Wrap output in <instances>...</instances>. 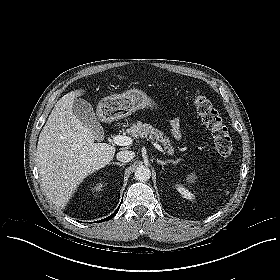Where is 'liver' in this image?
<instances>
[{
  "label": "liver",
  "instance_id": "obj_1",
  "mask_svg": "<svg viewBox=\"0 0 280 280\" xmlns=\"http://www.w3.org/2000/svg\"><path fill=\"white\" fill-rule=\"evenodd\" d=\"M83 92L71 91L57 101L37 145L36 161L43 188L61 208L83 179L109 164L116 151L107 143H94L92 130L73 114V102Z\"/></svg>",
  "mask_w": 280,
  "mask_h": 280
}]
</instances>
